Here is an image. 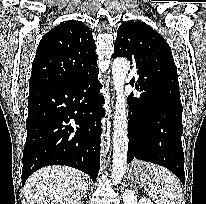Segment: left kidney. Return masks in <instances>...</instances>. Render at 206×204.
<instances>
[{
  "label": "left kidney",
  "mask_w": 206,
  "mask_h": 204,
  "mask_svg": "<svg viewBox=\"0 0 206 204\" xmlns=\"http://www.w3.org/2000/svg\"><path fill=\"white\" fill-rule=\"evenodd\" d=\"M123 202L124 204H153L146 198H141L140 200H138L135 192L132 190H126L123 193Z\"/></svg>",
  "instance_id": "obj_1"
}]
</instances>
